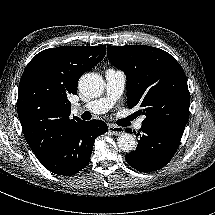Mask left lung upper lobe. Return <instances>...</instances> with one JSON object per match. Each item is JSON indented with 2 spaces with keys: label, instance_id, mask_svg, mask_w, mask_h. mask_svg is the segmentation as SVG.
Segmentation results:
<instances>
[{
  "label": "left lung upper lobe",
  "instance_id": "1",
  "mask_svg": "<svg viewBox=\"0 0 215 215\" xmlns=\"http://www.w3.org/2000/svg\"><path fill=\"white\" fill-rule=\"evenodd\" d=\"M107 56L126 74L128 107L144 108L142 124H187L190 94L173 56L147 45H107Z\"/></svg>",
  "mask_w": 215,
  "mask_h": 215
}]
</instances>
